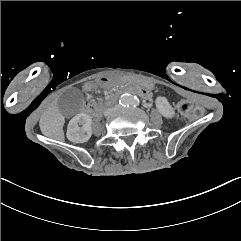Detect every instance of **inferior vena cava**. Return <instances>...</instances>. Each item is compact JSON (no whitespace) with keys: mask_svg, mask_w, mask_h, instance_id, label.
I'll return each instance as SVG.
<instances>
[{"mask_svg":"<svg viewBox=\"0 0 241 241\" xmlns=\"http://www.w3.org/2000/svg\"><path fill=\"white\" fill-rule=\"evenodd\" d=\"M109 113H110V111H109V110H105L104 115H105V116H108V115H109Z\"/></svg>","mask_w":241,"mask_h":241,"instance_id":"1","label":"inferior vena cava"}]
</instances>
